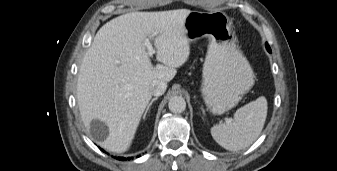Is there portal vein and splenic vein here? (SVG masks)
<instances>
[{
  "label": "portal vein and splenic vein",
  "instance_id": "1",
  "mask_svg": "<svg viewBox=\"0 0 337 171\" xmlns=\"http://www.w3.org/2000/svg\"><path fill=\"white\" fill-rule=\"evenodd\" d=\"M145 46L147 47L148 54L151 57L153 54H155V50L152 47V44L150 43L149 39L145 41Z\"/></svg>",
  "mask_w": 337,
  "mask_h": 171
}]
</instances>
